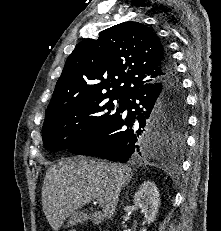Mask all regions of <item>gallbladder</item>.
<instances>
[{"instance_id":"gallbladder-1","label":"gallbladder","mask_w":221,"mask_h":231,"mask_svg":"<svg viewBox=\"0 0 221 231\" xmlns=\"http://www.w3.org/2000/svg\"><path fill=\"white\" fill-rule=\"evenodd\" d=\"M89 219H91V214L85 213L84 211L77 210L71 214L66 226L71 227L78 223H83Z\"/></svg>"}]
</instances>
